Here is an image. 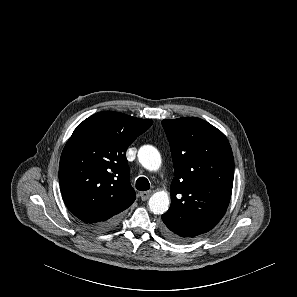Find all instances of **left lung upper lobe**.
<instances>
[{
  "label": "left lung upper lobe",
  "mask_w": 297,
  "mask_h": 297,
  "mask_svg": "<svg viewBox=\"0 0 297 297\" xmlns=\"http://www.w3.org/2000/svg\"><path fill=\"white\" fill-rule=\"evenodd\" d=\"M168 137L175 178L171 206L162 215L181 239L190 241L210 231L230 202L234 158L225 135L196 117L162 121Z\"/></svg>",
  "instance_id": "obj_1"
}]
</instances>
